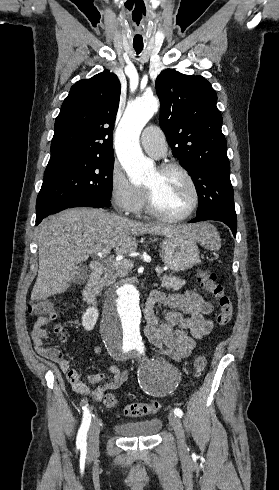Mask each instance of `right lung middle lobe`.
Returning a JSON list of instances; mask_svg holds the SVG:
<instances>
[{
	"mask_svg": "<svg viewBox=\"0 0 279 490\" xmlns=\"http://www.w3.org/2000/svg\"><path fill=\"white\" fill-rule=\"evenodd\" d=\"M113 164V151L48 163L37 197L36 214L42 213L50 202L74 197H88L109 207Z\"/></svg>",
	"mask_w": 279,
	"mask_h": 490,
	"instance_id": "1",
	"label": "right lung middle lobe"
}]
</instances>
